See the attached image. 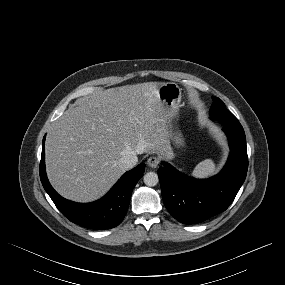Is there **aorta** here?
I'll list each match as a JSON object with an SVG mask.
<instances>
[{
    "label": "aorta",
    "mask_w": 285,
    "mask_h": 285,
    "mask_svg": "<svg viewBox=\"0 0 285 285\" xmlns=\"http://www.w3.org/2000/svg\"><path fill=\"white\" fill-rule=\"evenodd\" d=\"M143 180L147 186L151 187L157 185L159 182L158 175L155 172L146 173Z\"/></svg>",
    "instance_id": "762f6f07"
}]
</instances>
